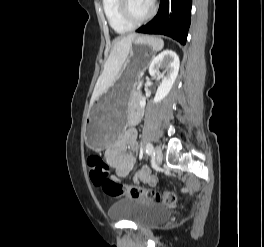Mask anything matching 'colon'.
<instances>
[{
    "mask_svg": "<svg viewBox=\"0 0 264 247\" xmlns=\"http://www.w3.org/2000/svg\"><path fill=\"white\" fill-rule=\"evenodd\" d=\"M87 166L91 182L110 197L143 198L152 201H160L166 205H174L177 202V194L172 191L158 192L152 189L120 184L109 177V167L105 161L97 155L87 158Z\"/></svg>",
    "mask_w": 264,
    "mask_h": 247,
    "instance_id": "obj_1",
    "label": "colon"
}]
</instances>
